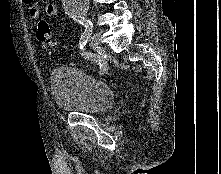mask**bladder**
I'll use <instances>...</instances> for the list:
<instances>
[{"mask_svg":"<svg viewBox=\"0 0 221 174\" xmlns=\"http://www.w3.org/2000/svg\"><path fill=\"white\" fill-rule=\"evenodd\" d=\"M50 85L56 105L68 113H101L114 100V91L107 83L78 68L54 69Z\"/></svg>","mask_w":221,"mask_h":174,"instance_id":"31cf9c89","label":"bladder"}]
</instances>
